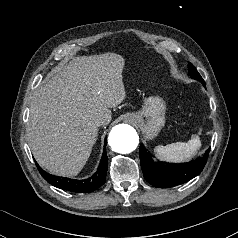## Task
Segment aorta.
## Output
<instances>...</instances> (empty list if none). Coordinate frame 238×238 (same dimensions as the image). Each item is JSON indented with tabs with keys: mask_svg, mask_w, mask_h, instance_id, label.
Listing matches in <instances>:
<instances>
[{
	"mask_svg": "<svg viewBox=\"0 0 238 238\" xmlns=\"http://www.w3.org/2000/svg\"><path fill=\"white\" fill-rule=\"evenodd\" d=\"M138 143L139 136L136 130L128 124L114 126L109 134V145L117 153H131Z\"/></svg>",
	"mask_w": 238,
	"mask_h": 238,
	"instance_id": "aorta-1",
	"label": "aorta"
}]
</instances>
